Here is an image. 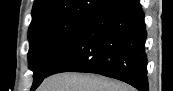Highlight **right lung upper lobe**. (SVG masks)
<instances>
[{"label": "right lung upper lobe", "instance_id": "1", "mask_svg": "<svg viewBox=\"0 0 173 91\" xmlns=\"http://www.w3.org/2000/svg\"><path fill=\"white\" fill-rule=\"evenodd\" d=\"M114 0H35L30 26L68 17L92 16Z\"/></svg>", "mask_w": 173, "mask_h": 91}]
</instances>
